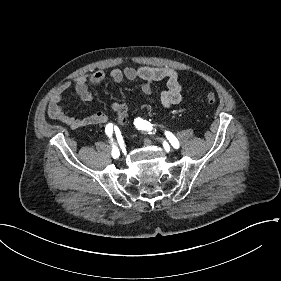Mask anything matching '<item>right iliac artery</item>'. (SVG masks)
I'll return each instance as SVG.
<instances>
[{
    "mask_svg": "<svg viewBox=\"0 0 281 281\" xmlns=\"http://www.w3.org/2000/svg\"><path fill=\"white\" fill-rule=\"evenodd\" d=\"M105 132L106 134L111 137L112 136V133H113V124L112 123H109L106 125V128H105ZM112 140V139H111ZM113 141V140H112ZM112 147H113V150H112V156L113 158H118L119 156V150L117 148L116 145H114V143L112 144Z\"/></svg>",
    "mask_w": 281,
    "mask_h": 281,
    "instance_id": "obj_1",
    "label": "right iliac artery"
}]
</instances>
